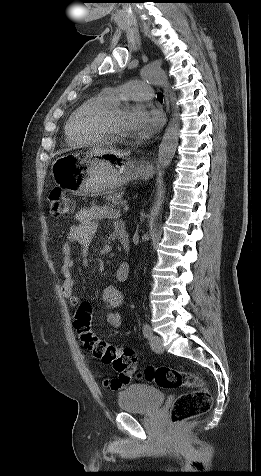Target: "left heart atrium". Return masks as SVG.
I'll return each instance as SVG.
<instances>
[{
    "instance_id": "39dd6f15",
    "label": "left heart atrium",
    "mask_w": 261,
    "mask_h": 476,
    "mask_svg": "<svg viewBox=\"0 0 261 476\" xmlns=\"http://www.w3.org/2000/svg\"><path fill=\"white\" fill-rule=\"evenodd\" d=\"M127 123L130 134L143 139L159 129L162 124V116L156 110H148L139 105L128 111Z\"/></svg>"
}]
</instances>
